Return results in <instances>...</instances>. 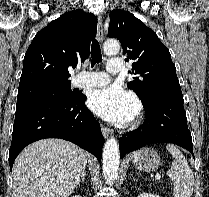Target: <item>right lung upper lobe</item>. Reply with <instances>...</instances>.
Listing matches in <instances>:
<instances>
[{
	"instance_id": "1",
	"label": "right lung upper lobe",
	"mask_w": 209,
	"mask_h": 197,
	"mask_svg": "<svg viewBox=\"0 0 209 197\" xmlns=\"http://www.w3.org/2000/svg\"><path fill=\"white\" fill-rule=\"evenodd\" d=\"M97 18L82 9L64 13L36 34L24 57L19 86L69 81L68 67L87 59Z\"/></svg>"
}]
</instances>
